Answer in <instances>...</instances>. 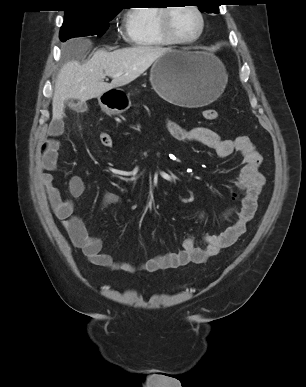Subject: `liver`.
I'll return each instance as SVG.
<instances>
[{"mask_svg":"<svg viewBox=\"0 0 306 387\" xmlns=\"http://www.w3.org/2000/svg\"><path fill=\"white\" fill-rule=\"evenodd\" d=\"M169 48L137 46L107 52L97 50L85 64L69 61L61 68L53 95V120L63 117L64 101L86 102L104 92L127 85L144 73ZM111 77V83L104 82Z\"/></svg>","mask_w":306,"mask_h":387,"instance_id":"liver-1","label":"liver"}]
</instances>
